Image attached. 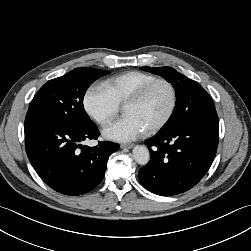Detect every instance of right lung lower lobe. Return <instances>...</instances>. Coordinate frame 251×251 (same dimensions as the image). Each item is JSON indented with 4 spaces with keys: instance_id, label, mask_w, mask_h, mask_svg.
<instances>
[{
    "instance_id": "obj_1",
    "label": "right lung lower lobe",
    "mask_w": 251,
    "mask_h": 251,
    "mask_svg": "<svg viewBox=\"0 0 251 251\" xmlns=\"http://www.w3.org/2000/svg\"><path fill=\"white\" fill-rule=\"evenodd\" d=\"M99 135L96 125L76 129L37 114H27L25 118V147L33 168L49 187L65 195L87 193L102 181L108 158L119 145L80 144Z\"/></svg>"
}]
</instances>
